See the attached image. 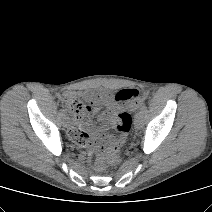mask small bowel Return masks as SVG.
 <instances>
[{
  "label": "small bowel",
  "mask_w": 212,
  "mask_h": 212,
  "mask_svg": "<svg viewBox=\"0 0 212 212\" xmlns=\"http://www.w3.org/2000/svg\"><path fill=\"white\" fill-rule=\"evenodd\" d=\"M77 95L90 103L92 107H88L89 111L85 115L74 117V124L69 130V135L79 145L100 151L107 141L105 132L108 130V123L115 120L120 106L103 91H82ZM92 112L104 123L102 126L97 127L90 123L89 117Z\"/></svg>",
  "instance_id": "obj_1"
}]
</instances>
